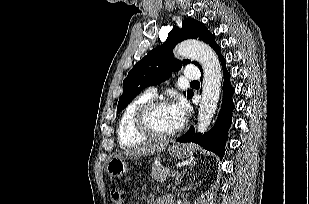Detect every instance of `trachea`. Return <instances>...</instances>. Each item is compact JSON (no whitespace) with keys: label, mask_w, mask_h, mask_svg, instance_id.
<instances>
[{"label":"trachea","mask_w":309,"mask_h":204,"mask_svg":"<svg viewBox=\"0 0 309 204\" xmlns=\"http://www.w3.org/2000/svg\"><path fill=\"white\" fill-rule=\"evenodd\" d=\"M191 84H199L198 81H192Z\"/></svg>","instance_id":"1"}]
</instances>
